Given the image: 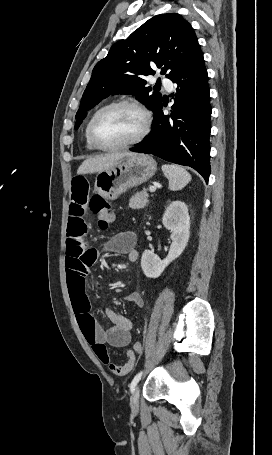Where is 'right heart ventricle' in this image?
<instances>
[{
  "mask_svg": "<svg viewBox=\"0 0 272 455\" xmlns=\"http://www.w3.org/2000/svg\"><path fill=\"white\" fill-rule=\"evenodd\" d=\"M85 140H86V148L89 151H96L97 149L91 144L89 137H88V124L85 129Z\"/></svg>",
  "mask_w": 272,
  "mask_h": 455,
  "instance_id": "obj_1",
  "label": "right heart ventricle"
}]
</instances>
